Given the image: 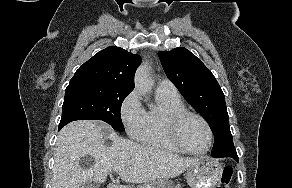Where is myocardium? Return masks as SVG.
<instances>
[{"label":"myocardium","mask_w":292,"mask_h":188,"mask_svg":"<svg viewBox=\"0 0 292 188\" xmlns=\"http://www.w3.org/2000/svg\"><path fill=\"white\" fill-rule=\"evenodd\" d=\"M188 117H195V118L199 119L204 124V126L207 130L208 145H207L206 149H204L203 151L191 150L181 140L180 127H181V124L183 123V121ZM165 127H166L168 136L171 139V141L181 151H183L185 153L192 154V155H204L210 151V149L213 145V138H214L213 131H212V128H211L209 122L207 121V119L204 116H202L201 114H199L195 111L182 109V110H178V111H174V112L169 113L165 117Z\"/></svg>","instance_id":"f54148a6"}]
</instances>
